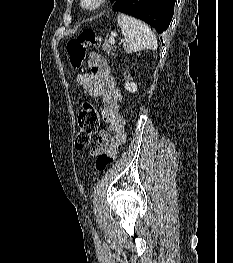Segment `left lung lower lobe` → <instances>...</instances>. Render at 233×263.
I'll use <instances>...</instances> for the list:
<instances>
[{
  "mask_svg": "<svg viewBox=\"0 0 233 263\" xmlns=\"http://www.w3.org/2000/svg\"><path fill=\"white\" fill-rule=\"evenodd\" d=\"M175 2L176 0H116L113 11L141 19L162 34L173 17Z\"/></svg>",
  "mask_w": 233,
  "mask_h": 263,
  "instance_id": "1",
  "label": "left lung lower lobe"
}]
</instances>
